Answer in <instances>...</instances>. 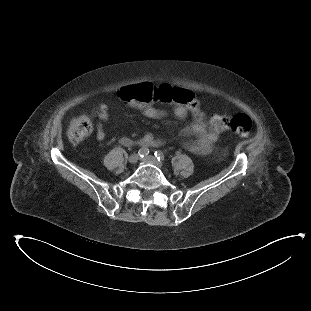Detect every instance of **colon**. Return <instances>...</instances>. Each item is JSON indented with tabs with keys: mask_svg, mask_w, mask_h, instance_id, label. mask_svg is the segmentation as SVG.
Listing matches in <instances>:
<instances>
[{
	"mask_svg": "<svg viewBox=\"0 0 311 311\" xmlns=\"http://www.w3.org/2000/svg\"><path fill=\"white\" fill-rule=\"evenodd\" d=\"M120 101L127 103L136 101L129 105L134 108L140 103H167L181 105L195 117H204V111L197 98L188 90L175 89L172 87L157 88L154 85L147 83L138 87H124L118 93ZM129 102V103H130ZM228 117L215 115L213 116L208 126L214 131H226ZM250 119L244 113H236L233 116L232 129L239 136H245L250 128ZM93 129L92 121L89 115H82L71 121L67 130V137L73 145L80 144L87 138Z\"/></svg>",
	"mask_w": 311,
	"mask_h": 311,
	"instance_id": "5ec220e1",
	"label": "colon"
}]
</instances>
